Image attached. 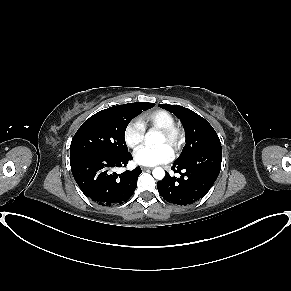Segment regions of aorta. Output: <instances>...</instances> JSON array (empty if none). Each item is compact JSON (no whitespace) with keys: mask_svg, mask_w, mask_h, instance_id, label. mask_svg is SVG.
I'll return each instance as SVG.
<instances>
[{"mask_svg":"<svg viewBox=\"0 0 291 291\" xmlns=\"http://www.w3.org/2000/svg\"><path fill=\"white\" fill-rule=\"evenodd\" d=\"M160 139V135L152 131L148 132L145 136V142L148 145H153L159 142ZM152 174L155 179L162 180L165 176V171L161 167H156L155 169H153Z\"/></svg>","mask_w":291,"mask_h":291,"instance_id":"obj_1","label":"aorta"}]
</instances>
